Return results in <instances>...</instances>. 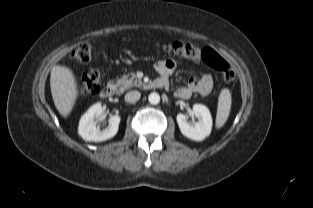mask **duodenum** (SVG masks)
I'll return each mask as SVG.
<instances>
[{
	"label": "duodenum",
	"instance_id": "410a0bca",
	"mask_svg": "<svg viewBox=\"0 0 313 208\" xmlns=\"http://www.w3.org/2000/svg\"><path fill=\"white\" fill-rule=\"evenodd\" d=\"M166 84L167 82L165 80L156 79L149 84V87L163 88L166 86ZM115 92H116V86L112 83H109L102 88L100 95L102 98H110L115 94Z\"/></svg>",
	"mask_w": 313,
	"mask_h": 208
}]
</instances>
